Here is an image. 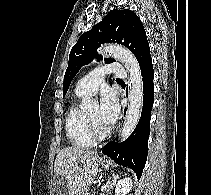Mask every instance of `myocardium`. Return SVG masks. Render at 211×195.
Returning <instances> with one entry per match:
<instances>
[{"label": "myocardium", "instance_id": "f54148a6", "mask_svg": "<svg viewBox=\"0 0 211 195\" xmlns=\"http://www.w3.org/2000/svg\"><path fill=\"white\" fill-rule=\"evenodd\" d=\"M86 123L88 132L94 141H103L109 137L111 130L107 128L104 131H98L88 114H86Z\"/></svg>", "mask_w": 211, "mask_h": 195}]
</instances>
